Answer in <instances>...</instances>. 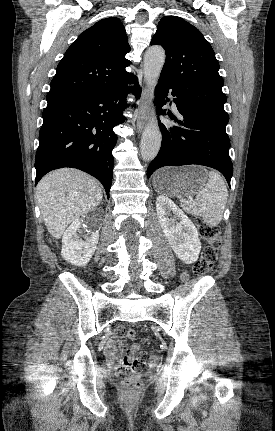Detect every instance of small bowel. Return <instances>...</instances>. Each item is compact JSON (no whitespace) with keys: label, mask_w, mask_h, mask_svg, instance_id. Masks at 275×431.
<instances>
[{"label":"small bowel","mask_w":275,"mask_h":431,"mask_svg":"<svg viewBox=\"0 0 275 431\" xmlns=\"http://www.w3.org/2000/svg\"><path fill=\"white\" fill-rule=\"evenodd\" d=\"M186 277V275H184ZM125 334V328L119 327L116 329L114 336L108 341L106 345V355L108 357V361L110 365H114L118 362L117 359V350L116 347L119 345L121 348H123V345L121 343V338ZM132 350L127 351L124 362H131L134 360L132 355Z\"/></svg>","instance_id":"small-bowel-1"}]
</instances>
